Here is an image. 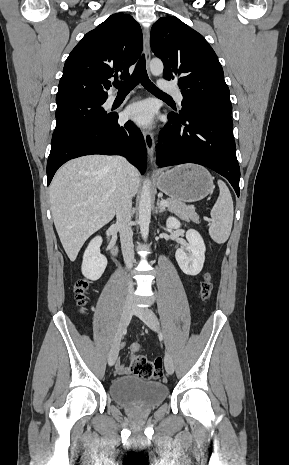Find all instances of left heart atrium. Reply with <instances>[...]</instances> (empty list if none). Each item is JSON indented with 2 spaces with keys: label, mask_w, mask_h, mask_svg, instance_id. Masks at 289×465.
Here are the masks:
<instances>
[{
  "label": "left heart atrium",
  "mask_w": 289,
  "mask_h": 465,
  "mask_svg": "<svg viewBox=\"0 0 289 465\" xmlns=\"http://www.w3.org/2000/svg\"><path fill=\"white\" fill-rule=\"evenodd\" d=\"M154 106L150 101L144 100L129 105L125 110V117L140 126H149L154 118Z\"/></svg>",
  "instance_id": "1"
}]
</instances>
